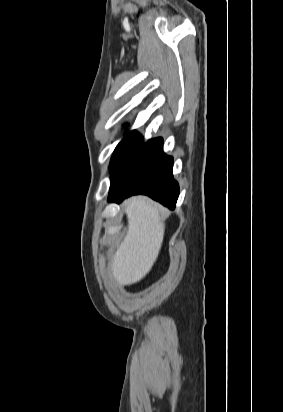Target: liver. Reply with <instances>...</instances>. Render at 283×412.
Wrapping results in <instances>:
<instances>
[{"mask_svg": "<svg viewBox=\"0 0 283 412\" xmlns=\"http://www.w3.org/2000/svg\"><path fill=\"white\" fill-rule=\"evenodd\" d=\"M127 234L111 260L112 275L119 285H131L146 276L163 242L165 224L160 207L136 196L125 202Z\"/></svg>", "mask_w": 283, "mask_h": 412, "instance_id": "liver-1", "label": "liver"}]
</instances>
